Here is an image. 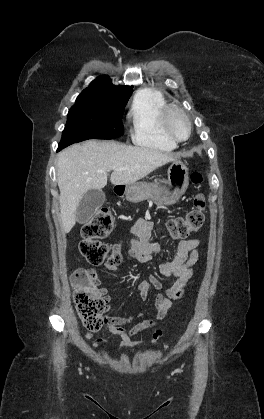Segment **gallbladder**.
I'll list each match as a JSON object with an SVG mask.
<instances>
[{"mask_svg":"<svg viewBox=\"0 0 264 419\" xmlns=\"http://www.w3.org/2000/svg\"><path fill=\"white\" fill-rule=\"evenodd\" d=\"M105 202V193L102 190L90 189L83 196L76 209L77 221L80 224L88 222L96 210Z\"/></svg>","mask_w":264,"mask_h":419,"instance_id":"1","label":"gallbladder"}]
</instances>
